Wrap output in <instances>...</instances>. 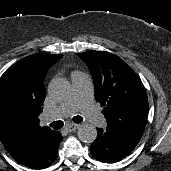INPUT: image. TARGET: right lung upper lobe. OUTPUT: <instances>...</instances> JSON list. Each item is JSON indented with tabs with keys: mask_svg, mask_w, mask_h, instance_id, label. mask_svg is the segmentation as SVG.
Segmentation results:
<instances>
[{
	"mask_svg": "<svg viewBox=\"0 0 171 171\" xmlns=\"http://www.w3.org/2000/svg\"><path fill=\"white\" fill-rule=\"evenodd\" d=\"M62 58L60 54L37 53L9 67L0 79V89L14 90L15 106L0 103V140L12 158L24 165L40 154L56 131L39 125L38 116L46 97L44 79L48 69Z\"/></svg>",
	"mask_w": 171,
	"mask_h": 171,
	"instance_id": "right-lung-upper-lobe-1",
	"label": "right lung upper lobe"
}]
</instances>
